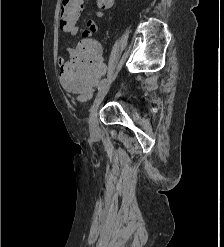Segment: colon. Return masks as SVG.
<instances>
[{
  "mask_svg": "<svg viewBox=\"0 0 224 247\" xmlns=\"http://www.w3.org/2000/svg\"><path fill=\"white\" fill-rule=\"evenodd\" d=\"M114 0H98L103 9L113 6ZM82 0H62L59 11V25L64 31L77 25ZM106 72L102 61L99 44L94 39L80 43L74 56L61 66V82L63 86L82 94L87 99L91 90Z\"/></svg>",
  "mask_w": 224,
  "mask_h": 247,
  "instance_id": "5ec220e1",
  "label": "colon"
}]
</instances>
